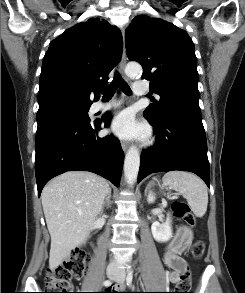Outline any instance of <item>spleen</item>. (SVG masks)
Returning a JSON list of instances; mask_svg holds the SVG:
<instances>
[{"label": "spleen", "mask_w": 245, "mask_h": 293, "mask_svg": "<svg viewBox=\"0 0 245 293\" xmlns=\"http://www.w3.org/2000/svg\"><path fill=\"white\" fill-rule=\"evenodd\" d=\"M163 183L182 194L195 216H204L208 205V192L199 177L189 172L171 171L163 176Z\"/></svg>", "instance_id": "1"}]
</instances>
